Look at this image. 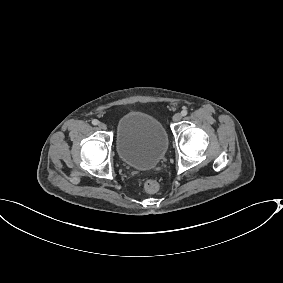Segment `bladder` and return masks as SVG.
<instances>
[{
	"mask_svg": "<svg viewBox=\"0 0 283 283\" xmlns=\"http://www.w3.org/2000/svg\"><path fill=\"white\" fill-rule=\"evenodd\" d=\"M115 137L119 158L136 169L156 166L168 147V135L161 121L138 111L126 112L118 119Z\"/></svg>",
	"mask_w": 283,
	"mask_h": 283,
	"instance_id": "obj_1",
	"label": "bladder"
}]
</instances>
